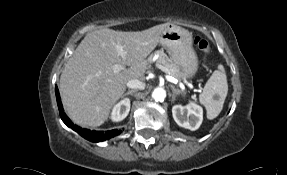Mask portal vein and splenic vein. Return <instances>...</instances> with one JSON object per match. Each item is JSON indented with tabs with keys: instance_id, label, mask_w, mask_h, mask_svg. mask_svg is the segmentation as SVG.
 Instances as JSON below:
<instances>
[{
	"instance_id": "18ae733b",
	"label": "portal vein and splenic vein",
	"mask_w": 287,
	"mask_h": 175,
	"mask_svg": "<svg viewBox=\"0 0 287 175\" xmlns=\"http://www.w3.org/2000/svg\"><path fill=\"white\" fill-rule=\"evenodd\" d=\"M116 49H117L118 53H119L122 57L125 56L126 52L124 51V47H123L122 45H117V46H116ZM157 68H159L160 70H162L163 72H165L166 74H168V71H167V69H166L164 66H162V65H160V64H157ZM113 69H114L115 72H119V71H121L122 69H124V65H122V64H115V65L113 66ZM166 78H167L169 81H173V78H172L170 75H167Z\"/></svg>"
}]
</instances>
